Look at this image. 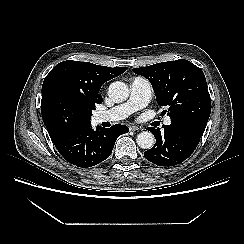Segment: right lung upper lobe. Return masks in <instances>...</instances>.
Returning <instances> with one entry per match:
<instances>
[{
  "label": "right lung upper lobe",
  "mask_w": 244,
  "mask_h": 244,
  "mask_svg": "<svg viewBox=\"0 0 244 244\" xmlns=\"http://www.w3.org/2000/svg\"><path fill=\"white\" fill-rule=\"evenodd\" d=\"M126 69L127 67L110 68L72 60L57 64L44 79L41 112H43L48 95L53 89H59L75 102L94 110L95 105L101 104L103 101L99 95L102 84L119 76ZM44 124L50 136L57 133L51 130L45 121Z\"/></svg>",
  "instance_id": "cb5924a9"
}]
</instances>
